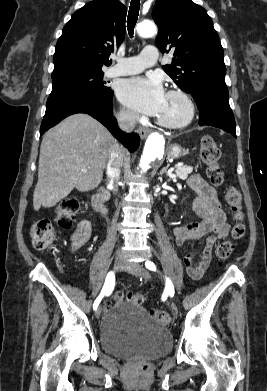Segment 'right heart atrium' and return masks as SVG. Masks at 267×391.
I'll return each mask as SVG.
<instances>
[{
  "mask_svg": "<svg viewBox=\"0 0 267 391\" xmlns=\"http://www.w3.org/2000/svg\"><path fill=\"white\" fill-rule=\"evenodd\" d=\"M118 119L123 123H132L136 119V115L127 108H120L118 112Z\"/></svg>",
  "mask_w": 267,
  "mask_h": 391,
  "instance_id": "d8ad5b80",
  "label": "right heart atrium"
}]
</instances>
